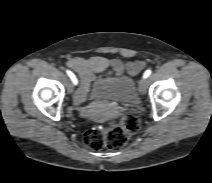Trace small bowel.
<instances>
[{
	"label": "small bowel",
	"instance_id": "small-bowel-1",
	"mask_svg": "<svg viewBox=\"0 0 212 183\" xmlns=\"http://www.w3.org/2000/svg\"><path fill=\"white\" fill-rule=\"evenodd\" d=\"M67 66L75 71L80 78V91L74 97L75 103L80 104L98 73L106 71L109 76L123 73L136 75L144 68V63L92 56L89 58L74 57L67 62Z\"/></svg>",
	"mask_w": 212,
	"mask_h": 183
}]
</instances>
